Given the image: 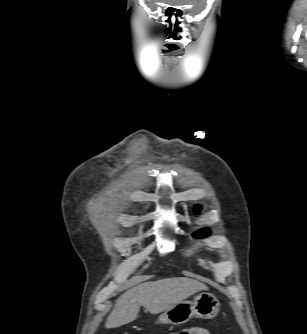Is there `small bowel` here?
Masks as SVG:
<instances>
[{"label": "small bowel", "mask_w": 307, "mask_h": 334, "mask_svg": "<svg viewBox=\"0 0 307 334\" xmlns=\"http://www.w3.org/2000/svg\"><path fill=\"white\" fill-rule=\"evenodd\" d=\"M183 334H210L209 330L202 326H194L182 331Z\"/></svg>", "instance_id": "c3829d8e"}]
</instances>
